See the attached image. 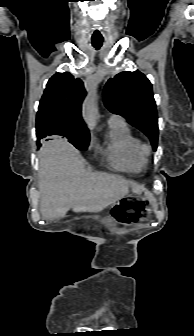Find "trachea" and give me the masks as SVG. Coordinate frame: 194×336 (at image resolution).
<instances>
[{
    "label": "trachea",
    "mask_w": 194,
    "mask_h": 336,
    "mask_svg": "<svg viewBox=\"0 0 194 336\" xmlns=\"http://www.w3.org/2000/svg\"><path fill=\"white\" fill-rule=\"evenodd\" d=\"M91 43H92V46L96 50H99L101 48L102 44H103V41L102 40H99V41L92 40Z\"/></svg>",
    "instance_id": "trachea-1"
}]
</instances>
